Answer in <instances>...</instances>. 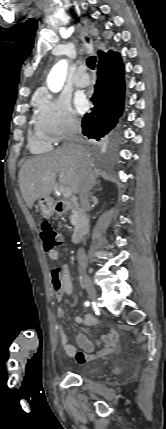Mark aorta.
<instances>
[{"label": "aorta", "mask_w": 166, "mask_h": 429, "mask_svg": "<svg viewBox=\"0 0 166 429\" xmlns=\"http://www.w3.org/2000/svg\"><path fill=\"white\" fill-rule=\"evenodd\" d=\"M67 66V61L61 60L51 70L47 78V85L52 92H58L62 89L67 74Z\"/></svg>", "instance_id": "1"}]
</instances>
